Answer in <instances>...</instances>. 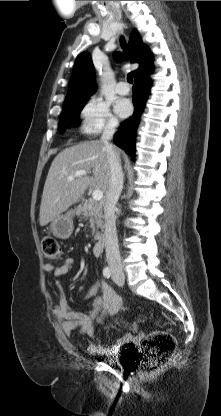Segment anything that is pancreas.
<instances>
[{
    "instance_id": "obj_1",
    "label": "pancreas",
    "mask_w": 221,
    "mask_h": 416,
    "mask_svg": "<svg viewBox=\"0 0 221 416\" xmlns=\"http://www.w3.org/2000/svg\"><path fill=\"white\" fill-rule=\"evenodd\" d=\"M76 215L80 219L88 220L89 227L92 229V233L95 234V239L101 238L98 230L103 228L102 204L92 200L86 201L77 208Z\"/></svg>"
}]
</instances>
